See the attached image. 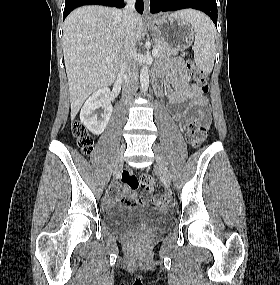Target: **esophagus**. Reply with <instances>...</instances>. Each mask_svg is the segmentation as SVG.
I'll return each mask as SVG.
<instances>
[{
  "label": "esophagus",
  "mask_w": 280,
  "mask_h": 285,
  "mask_svg": "<svg viewBox=\"0 0 280 285\" xmlns=\"http://www.w3.org/2000/svg\"><path fill=\"white\" fill-rule=\"evenodd\" d=\"M149 4H150L149 0H144V14H145V17L148 19L152 17L150 14Z\"/></svg>",
  "instance_id": "esophagus-1"
}]
</instances>
